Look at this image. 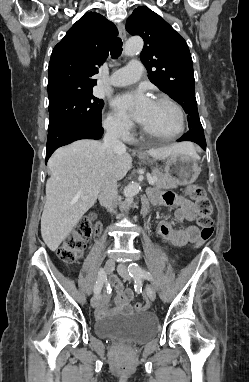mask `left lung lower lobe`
I'll return each instance as SVG.
<instances>
[{
    "instance_id": "obj_1",
    "label": "left lung lower lobe",
    "mask_w": 249,
    "mask_h": 382,
    "mask_svg": "<svg viewBox=\"0 0 249 382\" xmlns=\"http://www.w3.org/2000/svg\"><path fill=\"white\" fill-rule=\"evenodd\" d=\"M178 141H192L200 145L204 150H206V140L204 136V131L189 130L185 135H183Z\"/></svg>"
}]
</instances>
